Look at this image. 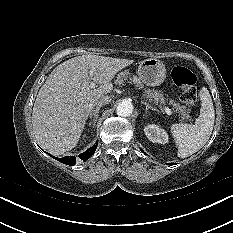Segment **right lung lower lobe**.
<instances>
[{
  "mask_svg": "<svg viewBox=\"0 0 233 233\" xmlns=\"http://www.w3.org/2000/svg\"><path fill=\"white\" fill-rule=\"evenodd\" d=\"M96 145H97V142H96L95 145H93L87 151H85L82 154H79V158L81 160H83V161H86L88 158H90L94 154V152L96 150ZM54 159L58 160L59 162H62L64 164H66V165H71V166L75 165V162H76V157H74V156H70V157L67 156V157H63V158L54 157Z\"/></svg>",
  "mask_w": 233,
  "mask_h": 233,
  "instance_id": "1",
  "label": "right lung lower lobe"
}]
</instances>
